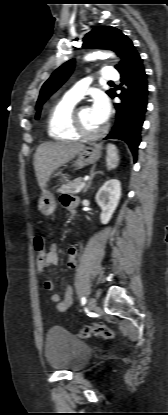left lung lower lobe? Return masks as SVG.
Masks as SVG:
<instances>
[{"label":"left lung lower lobe","instance_id":"1","mask_svg":"<svg viewBox=\"0 0 168 415\" xmlns=\"http://www.w3.org/2000/svg\"><path fill=\"white\" fill-rule=\"evenodd\" d=\"M120 74L124 85L120 88L121 93L117 95L114 89L110 97L118 96L121 103L115 104L116 122L104 139H119L127 143L136 161L148 95L147 75L139 54L131 59Z\"/></svg>","mask_w":168,"mask_h":415}]
</instances>
